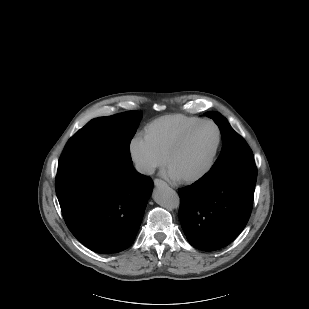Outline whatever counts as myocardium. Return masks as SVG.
<instances>
[{
	"instance_id": "1",
	"label": "myocardium",
	"mask_w": 309,
	"mask_h": 309,
	"mask_svg": "<svg viewBox=\"0 0 309 309\" xmlns=\"http://www.w3.org/2000/svg\"><path fill=\"white\" fill-rule=\"evenodd\" d=\"M204 124L213 125L215 127L216 131H217V143H216L215 149H214L213 154H212L208 164L206 165V167L202 171H200L199 173H197L195 175L179 178V181L181 183L190 184V183H194V182L201 180L212 170V168L214 167L215 162L217 160V156H218L219 150H220L221 145H222V139H223L222 130H221L220 126L215 121L210 120V119H202V120L196 122L195 124L191 125L190 127H188L173 142V144L171 145V147L169 148V150H168V152L165 156V164L166 165L169 164L170 159L182 147V145L185 143V141L188 139V137L191 135V133L195 129H197L199 126L204 125Z\"/></svg>"
}]
</instances>
